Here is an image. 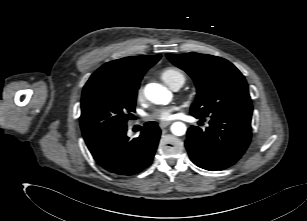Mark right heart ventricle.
Masks as SVG:
<instances>
[{"label":"right heart ventricle","mask_w":307,"mask_h":221,"mask_svg":"<svg viewBox=\"0 0 307 221\" xmlns=\"http://www.w3.org/2000/svg\"><path fill=\"white\" fill-rule=\"evenodd\" d=\"M159 75L170 88L176 84L183 85L186 80L185 74L175 67H166L160 71Z\"/></svg>","instance_id":"e07e8e85"}]
</instances>
